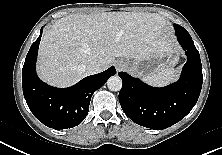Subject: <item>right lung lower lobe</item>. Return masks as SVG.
Segmentation results:
<instances>
[{
	"label": "right lung lower lobe",
	"mask_w": 222,
	"mask_h": 155,
	"mask_svg": "<svg viewBox=\"0 0 222 155\" xmlns=\"http://www.w3.org/2000/svg\"><path fill=\"white\" fill-rule=\"evenodd\" d=\"M38 39L31 45L22 69L23 94L34 116L44 125L53 129H67L79 125L87 116L91 97L107 79L115 75L111 66L106 71L88 76L68 88H56L42 82L35 70Z\"/></svg>",
	"instance_id": "98d812e1"
}]
</instances>
